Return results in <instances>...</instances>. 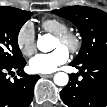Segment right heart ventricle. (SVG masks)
I'll list each match as a JSON object with an SVG mask.
<instances>
[{
  "label": "right heart ventricle",
  "mask_w": 107,
  "mask_h": 107,
  "mask_svg": "<svg viewBox=\"0 0 107 107\" xmlns=\"http://www.w3.org/2000/svg\"><path fill=\"white\" fill-rule=\"evenodd\" d=\"M42 29L50 34L58 35L69 30V25L59 18H49L41 23Z\"/></svg>",
  "instance_id": "right-heart-ventricle-1"
}]
</instances>
